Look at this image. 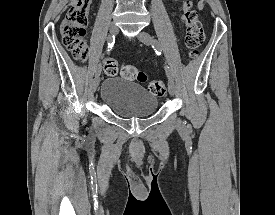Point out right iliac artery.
<instances>
[{"label": "right iliac artery", "instance_id": "82829eb1", "mask_svg": "<svg viewBox=\"0 0 275 215\" xmlns=\"http://www.w3.org/2000/svg\"><path fill=\"white\" fill-rule=\"evenodd\" d=\"M114 43H115V36L114 35L109 36V38H108V48H112ZM108 51H109V49H108ZM101 68H102L101 63H98L96 65V68H95V73H97V72L101 73Z\"/></svg>", "mask_w": 275, "mask_h": 215}]
</instances>
